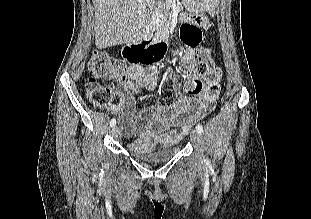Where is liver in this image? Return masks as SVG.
<instances>
[{
    "mask_svg": "<svg viewBox=\"0 0 311 219\" xmlns=\"http://www.w3.org/2000/svg\"><path fill=\"white\" fill-rule=\"evenodd\" d=\"M191 10L204 11L212 0H192ZM95 44L99 49L137 43L145 34L156 0H93Z\"/></svg>",
    "mask_w": 311,
    "mask_h": 219,
    "instance_id": "6515ba94",
    "label": "liver"
}]
</instances>
